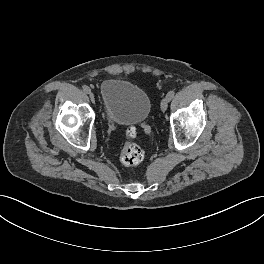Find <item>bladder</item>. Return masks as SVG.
<instances>
[{
	"instance_id": "1",
	"label": "bladder",
	"mask_w": 264,
	"mask_h": 264,
	"mask_svg": "<svg viewBox=\"0 0 264 264\" xmlns=\"http://www.w3.org/2000/svg\"><path fill=\"white\" fill-rule=\"evenodd\" d=\"M101 110L110 125L144 122L151 110V100L140 86L121 79H107L100 86Z\"/></svg>"
}]
</instances>
